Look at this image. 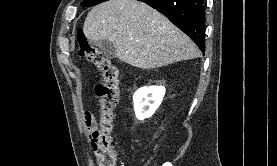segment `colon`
<instances>
[{
  "label": "colon",
  "instance_id": "colon-1",
  "mask_svg": "<svg viewBox=\"0 0 277 166\" xmlns=\"http://www.w3.org/2000/svg\"><path fill=\"white\" fill-rule=\"evenodd\" d=\"M77 41L80 56L93 63L102 75V81L95 88L100 103V116L97 122L87 126L97 163L98 166H117L113 132L114 109L119 99L120 71L116 64L86 38L82 30L77 32Z\"/></svg>",
  "mask_w": 277,
  "mask_h": 166
}]
</instances>
